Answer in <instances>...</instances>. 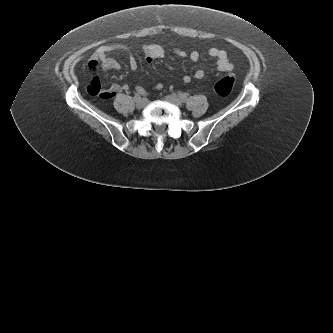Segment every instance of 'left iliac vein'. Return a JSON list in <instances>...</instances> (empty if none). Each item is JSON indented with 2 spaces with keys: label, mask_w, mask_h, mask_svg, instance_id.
<instances>
[{
  "label": "left iliac vein",
  "mask_w": 333,
  "mask_h": 333,
  "mask_svg": "<svg viewBox=\"0 0 333 333\" xmlns=\"http://www.w3.org/2000/svg\"><path fill=\"white\" fill-rule=\"evenodd\" d=\"M165 100L177 107H181L182 106V101L178 98V96L172 94V95H168L165 97Z\"/></svg>",
  "instance_id": "obj_1"
}]
</instances>
